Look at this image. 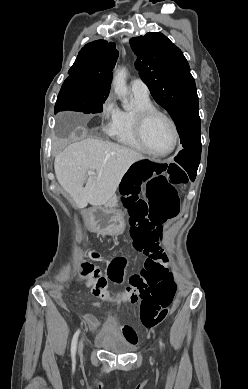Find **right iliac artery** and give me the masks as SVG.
<instances>
[{"mask_svg": "<svg viewBox=\"0 0 248 389\" xmlns=\"http://www.w3.org/2000/svg\"><path fill=\"white\" fill-rule=\"evenodd\" d=\"M79 333H80V330L76 331V333L74 334L73 339H72L71 355H72L73 360L75 359V353H76V347H77Z\"/></svg>", "mask_w": 248, "mask_h": 389, "instance_id": "82829eb1", "label": "right iliac artery"}]
</instances>
